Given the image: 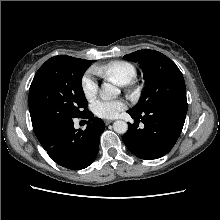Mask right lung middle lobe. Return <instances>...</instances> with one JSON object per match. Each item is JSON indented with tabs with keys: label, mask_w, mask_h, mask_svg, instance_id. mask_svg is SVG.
Masks as SVG:
<instances>
[{
	"label": "right lung middle lobe",
	"mask_w": 220,
	"mask_h": 220,
	"mask_svg": "<svg viewBox=\"0 0 220 220\" xmlns=\"http://www.w3.org/2000/svg\"><path fill=\"white\" fill-rule=\"evenodd\" d=\"M92 62L59 55L39 68L29 89V111L35 135L87 111L82 109L87 106L82 76Z\"/></svg>",
	"instance_id": "obj_1"
}]
</instances>
